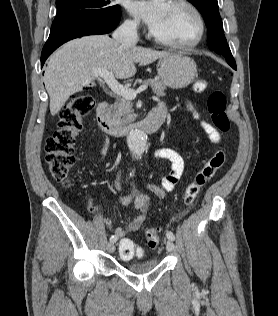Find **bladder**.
<instances>
[{
    "mask_svg": "<svg viewBox=\"0 0 278 316\" xmlns=\"http://www.w3.org/2000/svg\"><path fill=\"white\" fill-rule=\"evenodd\" d=\"M159 265V260L149 259L145 261H135L125 264V267L132 273L145 274L154 270Z\"/></svg>",
    "mask_w": 278,
    "mask_h": 316,
    "instance_id": "1",
    "label": "bladder"
}]
</instances>
